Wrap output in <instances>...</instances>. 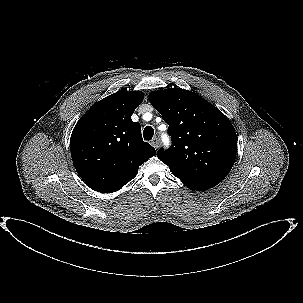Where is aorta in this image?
Segmentation results:
<instances>
[{
    "label": "aorta",
    "mask_w": 303,
    "mask_h": 303,
    "mask_svg": "<svg viewBox=\"0 0 303 303\" xmlns=\"http://www.w3.org/2000/svg\"><path fill=\"white\" fill-rule=\"evenodd\" d=\"M164 142H165V143H168V139L165 138V139H164Z\"/></svg>",
    "instance_id": "obj_1"
}]
</instances>
